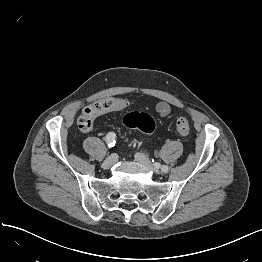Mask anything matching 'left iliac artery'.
<instances>
[{
	"label": "left iliac artery",
	"mask_w": 262,
	"mask_h": 262,
	"mask_svg": "<svg viewBox=\"0 0 262 262\" xmlns=\"http://www.w3.org/2000/svg\"><path fill=\"white\" fill-rule=\"evenodd\" d=\"M155 165H157V163H155ZM161 170L163 171V172H168L169 171V167L168 166H166V165H163L162 167H161Z\"/></svg>",
	"instance_id": "obj_1"
}]
</instances>
